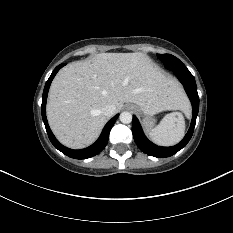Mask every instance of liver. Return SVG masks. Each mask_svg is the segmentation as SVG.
<instances>
[{"mask_svg":"<svg viewBox=\"0 0 233 233\" xmlns=\"http://www.w3.org/2000/svg\"><path fill=\"white\" fill-rule=\"evenodd\" d=\"M134 103L154 115L187 110L179 83L166 76L145 54L100 53L61 69L50 87L47 119L57 139L81 149L91 145L108 120L102 108Z\"/></svg>","mask_w":233,"mask_h":233,"instance_id":"obj_1","label":"liver"}]
</instances>
